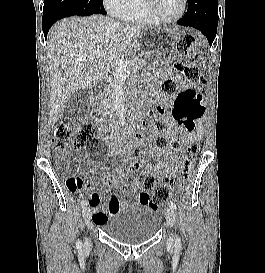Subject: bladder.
<instances>
[{
  "label": "bladder",
  "mask_w": 265,
  "mask_h": 273,
  "mask_svg": "<svg viewBox=\"0 0 265 273\" xmlns=\"http://www.w3.org/2000/svg\"><path fill=\"white\" fill-rule=\"evenodd\" d=\"M161 220L156 209L140 202L114 213L102 228L114 241L136 245L151 240L157 234Z\"/></svg>",
  "instance_id": "1"
}]
</instances>
